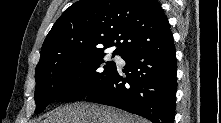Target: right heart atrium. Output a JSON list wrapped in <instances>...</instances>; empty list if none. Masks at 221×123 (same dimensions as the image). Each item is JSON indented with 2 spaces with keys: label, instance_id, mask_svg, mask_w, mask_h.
<instances>
[{
  "label": "right heart atrium",
  "instance_id": "1",
  "mask_svg": "<svg viewBox=\"0 0 221 123\" xmlns=\"http://www.w3.org/2000/svg\"><path fill=\"white\" fill-rule=\"evenodd\" d=\"M73 79L76 80V81H79L82 79V75L80 73H75L73 75Z\"/></svg>",
  "mask_w": 221,
  "mask_h": 123
}]
</instances>
